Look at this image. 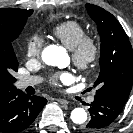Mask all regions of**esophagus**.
<instances>
[{
  "label": "esophagus",
  "instance_id": "1",
  "mask_svg": "<svg viewBox=\"0 0 133 133\" xmlns=\"http://www.w3.org/2000/svg\"><path fill=\"white\" fill-rule=\"evenodd\" d=\"M56 101L62 105H67L69 103L66 99H62V98H57Z\"/></svg>",
  "mask_w": 133,
  "mask_h": 133
}]
</instances>
